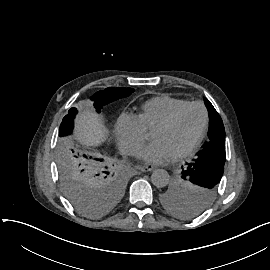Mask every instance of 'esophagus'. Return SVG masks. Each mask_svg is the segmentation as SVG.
Here are the masks:
<instances>
[{"label": "esophagus", "instance_id": "1", "mask_svg": "<svg viewBox=\"0 0 270 270\" xmlns=\"http://www.w3.org/2000/svg\"><path fill=\"white\" fill-rule=\"evenodd\" d=\"M153 169H154V166L152 164H147L140 168L142 172H149V171H152Z\"/></svg>", "mask_w": 270, "mask_h": 270}]
</instances>
